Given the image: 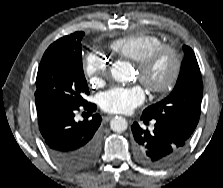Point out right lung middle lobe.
Returning <instances> with one entry per match:
<instances>
[{
	"mask_svg": "<svg viewBox=\"0 0 223 188\" xmlns=\"http://www.w3.org/2000/svg\"><path fill=\"white\" fill-rule=\"evenodd\" d=\"M84 32L64 36L45 51L36 78L35 100H55L75 105L87 103L89 89L83 72L81 40Z\"/></svg>",
	"mask_w": 223,
	"mask_h": 188,
	"instance_id": "dd1d6c3e",
	"label": "right lung middle lobe"
}]
</instances>
